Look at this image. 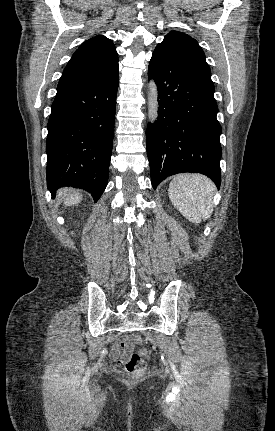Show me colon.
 I'll return each instance as SVG.
<instances>
[{"mask_svg":"<svg viewBox=\"0 0 275 431\" xmlns=\"http://www.w3.org/2000/svg\"><path fill=\"white\" fill-rule=\"evenodd\" d=\"M142 343V338L139 335H134L133 337L125 338L126 345H140ZM148 357L147 350H140L139 352L133 353L130 358L125 362V369L132 375H140L146 364V358Z\"/></svg>","mask_w":275,"mask_h":431,"instance_id":"obj_1","label":"colon"}]
</instances>
